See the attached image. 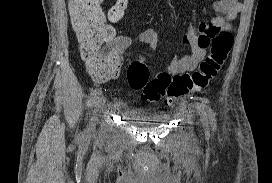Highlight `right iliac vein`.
I'll list each match as a JSON object with an SVG mask.
<instances>
[{
    "mask_svg": "<svg viewBox=\"0 0 272 183\" xmlns=\"http://www.w3.org/2000/svg\"><path fill=\"white\" fill-rule=\"evenodd\" d=\"M104 101H105L104 97L101 95L95 101L94 110L92 112V117H91V120H90L89 126H88V133L89 134L95 130L97 115H98L99 109L101 108Z\"/></svg>",
    "mask_w": 272,
    "mask_h": 183,
    "instance_id": "1",
    "label": "right iliac vein"
}]
</instances>
